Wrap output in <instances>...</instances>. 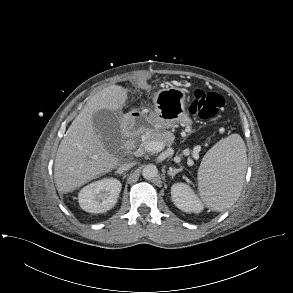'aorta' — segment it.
<instances>
[{"label":"aorta","mask_w":293,"mask_h":293,"mask_svg":"<svg viewBox=\"0 0 293 293\" xmlns=\"http://www.w3.org/2000/svg\"><path fill=\"white\" fill-rule=\"evenodd\" d=\"M157 175H158V169H157L156 165H154V164H148L142 170V176L146 180H152V179L156 178Z\"/></svg>","instance_id":"1"}]
</instances>
